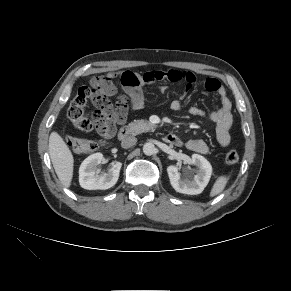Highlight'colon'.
Returning <instances> with one entry per match:
<instances>
[{
  "label": "colon",
  "instance_id": "obj_1",
  "mask_svg": "<svg viewBox=\"0 0 291 291\" xmlns=\"http://www.w3.org/2000/svg\"><path fill=\"white\" fill-rule=\"evenodd\" d=\"M211 86L216 84L211 81ZM110 83L106 79H102L97 85L82 86L78 89L76 95L72 99L67 115L74 128L80 132H89L101 123V112L107 104L106 91ZM91 103L94 106L91 117L85 113L86 106ZM67 145L77 154L90 153L97 150L100 146L99 142L81 139L68 135L66 137ZM224 160L227 164H235L239 160L236 151L230 150L225 154Z\"/></svg>",
  "mask_w": 291,
  "mask_h": 291
}]
</instances>
